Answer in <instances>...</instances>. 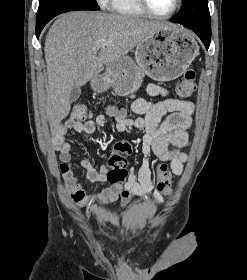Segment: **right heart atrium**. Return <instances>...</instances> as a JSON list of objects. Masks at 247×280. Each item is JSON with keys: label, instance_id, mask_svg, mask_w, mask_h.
<instances>
[{"label": "right heart atrium", "instance_id": "right-heart-atrium-1", "mask_svg": "<svg viewBox=\"0 0 247 280\" xmlns=\"http://www.w3.org/2000/svg\"><path fill=\"white\" fill-rule=\"evenodd\" d=\"M100 6H106L109 0H96Z\"/></svg>", "mask_w": 247, "mask_h": 280}]
</instances>
